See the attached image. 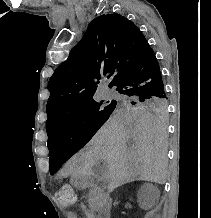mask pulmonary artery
Instances as JSON below:
<instances>
[{"instance_id": "obj_1", "label": "pulmonary artery", "mask_w": 211, "mask_h": 218, "mask_svg": "<svg viewBox=\"0 0 211 218\" xmlns=\"http://www.w3.org/2000/svg\"><path fill=\"white\" fill-rule=\"evenodd\" d=\"M103 95H104L105 99H110L113 96V92H112V90L105 88L103 91Z\"/></svg>"}]
</instances>
